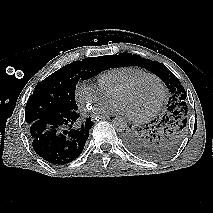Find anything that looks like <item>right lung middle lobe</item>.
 <instances>
[{
  "label": "right lung middle lobe",
  "instance_id": "dd1d6c3e",
  "mask_svg": "<svg viewBox=\"0 0 213 213\" xmlns=\"http://www.w3.org/2000/svg\"><path fill=\"white\" fill-rule=\"evenodd\" d=\"M109 66V58L89 57L67 64L38 83L26 104L27 125L60 112L78 110L75 101L78 81L88 79Z\"/></svg>",
  "mask_w": 213,
  "mask_h": 213
}]
</instances>
